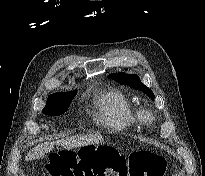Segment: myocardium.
<instances>
[{"instance_id": "obj_1", "label": "myocardium", "mask_w": 205, "mask_h": 176, "mask_svg": "<svg viewBox=\"0 0 205 176\" xmlns=\"http://www.w3.org/2000/svg\"><path fill=\"white\" fill-rule=\"evenodd\" d=\"M140 118L145 122H151L153 120L152 115L147 111H141Z\"/></svg>"}]
</instances>
